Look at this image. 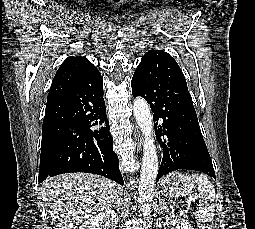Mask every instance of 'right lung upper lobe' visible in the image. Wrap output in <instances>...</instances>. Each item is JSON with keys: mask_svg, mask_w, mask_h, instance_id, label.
<instances>
[{"mask_svg": "<svg viewBox=\"0 0 255 229\" xmlns=\"http://www.w3.org/2000/svg\"><path fill=\"white\" fill-rule=\"evenodd\" d=\"M92 67L95 66L86 57H68L56 72L48 94L47 103L66 95L75 81Z\"/></svg>", "mask_w": 255, "mask_h": 229, "instance_id": "obj_1", "label": "right lung upper lobe"}]
</instances>
